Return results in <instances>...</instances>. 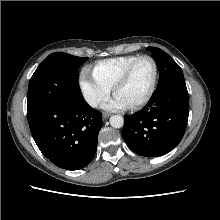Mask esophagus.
<instances>
[{
	"label": "esophagus",
	"instance_id": "34e87169",
	"mask_svg": "<svg viewBox=\"0 0 220 220\" xmlns=\"http://www.w3.org/2000/svg\"><path fill=\"white\" fill-rule=\"evenodd\" d=\"M109 116H110V113L104 112V113L102 114L103 119H107Z\"/></svg>",
	"mask_w": 220,
	"mask_h": 220
}]
</instances>
